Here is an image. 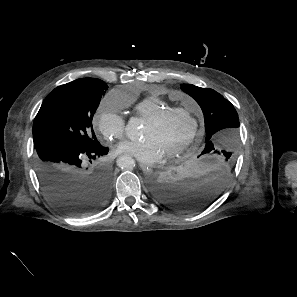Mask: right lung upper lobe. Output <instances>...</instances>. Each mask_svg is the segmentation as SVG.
Segmentation results:
<instances>
[{"instance_id": "1", "label": "right lung upper lobe", "mask_w": 297, "mask_h": 297, "mask_svg": "<svg viewBox=\"0 0 297 297\" xmlns=\"http://www.w3.org/2000/svg\"><path fill=\"white\" fill-rule=\"evenodd\" d=\"M77 81H82V82H96V81H99V79H95V78H83V79H78Z\"/></svg>"}]
</instances>
